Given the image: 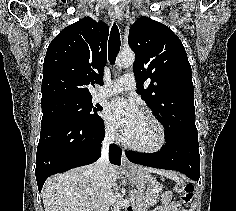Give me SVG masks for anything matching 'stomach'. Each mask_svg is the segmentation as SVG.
<instances>
[{
  "instance_id": "stomach-1",
  "label": "stomach",
  "mask_w": 236,
  "mask_h": 211,
  "mask_svg": "<svg viewBox=\"0 0 236 211\" xmlns=\"http://www.w3.org/2000/svg\"><path fill=\"white\" fill-rule=\"evenodd\" d=\"M128 175L132 182L137 186L138 192L141 194L143 202L149 206H154L162 192V185L157 182L149 173L134 166L128 171Z\"/></svg>"
}]
</instances>
